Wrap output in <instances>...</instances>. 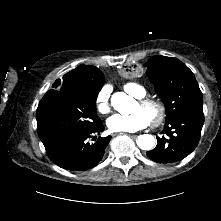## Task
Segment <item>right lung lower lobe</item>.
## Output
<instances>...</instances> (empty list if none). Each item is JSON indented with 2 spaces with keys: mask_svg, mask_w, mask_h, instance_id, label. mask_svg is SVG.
I'll use <instances>...</instances> for the list:
<instances>
[{
  "mask_svg": "<svg viewBox=\"0 0 221 221\" xmlns=\"http://www.w3.org/2000/svg\"><path fill=\"white\" fill-rule=\"evenodd\" d=\"M103 130L104 126L100 121L91 130L77 134L46 152L52 162L59 167L71 171L88 170L95 167L102 159L111 139L110 136L96 138L95 135H99Z\"/></svg>",
  "mask_w": 221,
  "mask_h": 221,
  "instance_id": "98d812e1",
  "label": "right lung lower lobe"
}]
</instances>
